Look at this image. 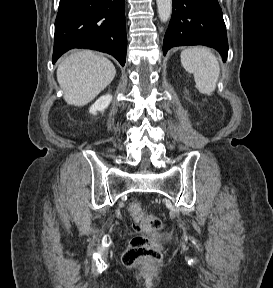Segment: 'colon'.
<instances>
[{
  "mask_svg": "<svg viewBox=\"0 0 273 288\" xmlns=\"http://www.w3.org/2000/svg\"><path fill=\"white\" fill-rule=\"evenodd\" d=\"M130 213L135 219L137 227L142 231H156L161 227L160 219L145 212L137 202L131 204ZM160 258V245L145 235L134 236L122 256L123 263L126 266H133L141 259L156 262Z\"/></svg>",
  "mask_w": 273,
  "mask_h": 288,
  "instance_id": "obj_1",
  "label": "colon"
}]
</instances>
